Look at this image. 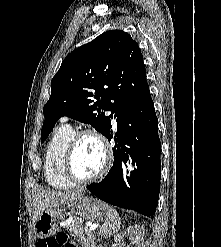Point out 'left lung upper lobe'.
<instances>
[{"mask_svg":"<svg viewBox=\"0 0 221 247\" xmlns=\"http://www.w3.org/2000/svg\"><path fill=\"white\" fill-rule=\"evenodd\" d=\"M150 96L138 44L124 31L104 32L67 55L53 77L43 109L42 143L62 116L88 123L105 136L118 108Z\"/></svg>","mask_w":221,"mask_h":247,"instance_id":"5c2ea615","label":"left lung upper lobe"}]
</instances>
